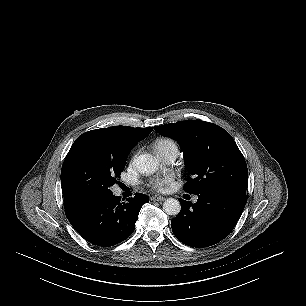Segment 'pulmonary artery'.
Listing matches in <instances>:
<instances>
[{
	"label": "pulmonary artery",
	"mask_w": 306,
	"mask_h": 306,
	"mask_svg": "<svg viewBox=\"0 0 306 306\" xmlns=\"http://www.w3.org/2000/svg\"><path fill=\"white\" fill-rule=\"evenodd\" d=\"M177 156L178 150H171L163 156V159L166 162H173L177 158ZM194 201H196V198H194Z\"/></svg>",
	"instance_id": "1"
}]
</instances>
